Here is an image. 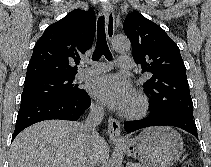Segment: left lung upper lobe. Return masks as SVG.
Wrapping results in <instances>:
<instances>
[{
    "label": "left lung upper lobe",
    "instance_id": "obj_1",
    "mask_svg": "<svg viewBox=\"0 0 211 167\" xmlns=\"http://www.w3.org/2000/svg\"><path fill=\"white\" fill-rule=\"evenodd\" d=\"M133 58L142 73L152 74L144 84L151 95L152 114H183L193 118L186 69L177 44L157 24L138 11L126 16L123 24Z\"/></svg>",
    "mask_w": 211,
    "mask_h": 167
}]
</instances>
